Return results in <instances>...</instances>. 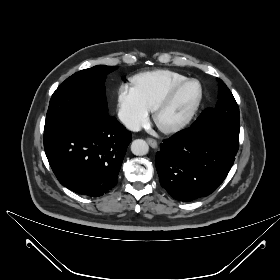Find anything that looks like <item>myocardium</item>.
I'll return each mask as SVG.
<instances>
[{"label": "myocardium", "instance_id": "f54148a6", "mask_svg": "<svg viewBox=\"0 0 280 280\" xmlns=\"http://www.w3.org/2000/svg\"><path fill=\"white\" fill-rule=\"evenodd\" d=\"M192 83L197 84L199 92H198V96H197L194 104L192 105V107L190 108L188 113L182 119L175 122L174 124H171L168 126L159 125L158 117H159L160 113L166 107H168L170 105V103L172 102V100L174 99V97L176 96V94L178 93L179 90H181L186 85H189ZM202 99H203V86H202L201 82L194 78H187L186 80L176 83L173 86H171L166 91V93L162 96V98L158 101V103L154 106V108L152 109L153 121L156 124V126L158 127V129L163 133L169 134V133L178 132V131L182 130L184 127H186L192 121V119L196 115V113L201 105Z\"/></svg>", "mask_w": 280, "mask_h": 280}]
</instances>
